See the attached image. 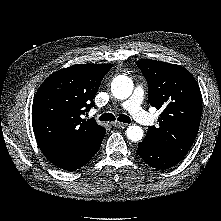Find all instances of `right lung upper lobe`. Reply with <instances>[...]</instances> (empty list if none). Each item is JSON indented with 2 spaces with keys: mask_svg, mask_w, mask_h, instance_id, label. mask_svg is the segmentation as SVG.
<instances>
[{
  "mask_svg": "<svg viewBox=\"0 0 221 221\" xmlns=\"http://www.w3.org/2000/svg\"><path fill=\"white\" fill-rule=\"evenodd\" d=\"M112 64H77L51 74L39 87L32 125L41 151L81 152L106 133L94 119H82Z\"/></svg>",
  "mask_w": 221,
  "mask_h": 221,
  "instance_id": "right-lung-upper-lobe-1",
  "label": "right lung upper lobe"
}]
</instances>
